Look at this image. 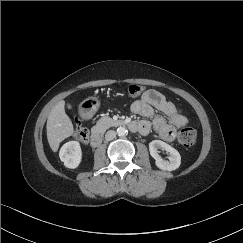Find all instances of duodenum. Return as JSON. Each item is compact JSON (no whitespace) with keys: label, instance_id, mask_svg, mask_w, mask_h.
Instances as JSON below:
<instances>
[{"label":"duodenum","instance_id":"obj_1","mask_svg":"<svg viewBox=\"0 0 243 243\" xmlns=\"http://www.w3.org/2000/svg\"><path fill=\"white\" fill-rule=\"evenodd\" d=\"M119 125L128 127L129 129H131L134 132L138 131L140 128V124L137 122H133V121H122L119 123ZM101 140H102L101 132L97 129H94L90 135V143H91L92 147H97L101 143Z\"/></svg>","mask_w":243,"mask_h":243}]
</instances>
